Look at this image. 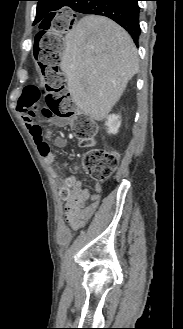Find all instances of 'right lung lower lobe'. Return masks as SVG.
<instances>
[{
    "label": "right lung lower lobe",
    "mask_w": 183,
    "mask_h": 329,
    "mask_svg": "<svg viewBox=\"0 0 183 329\" xmlns=\"http://www.w3.org/2000/svg\"><path fill=\"white\" fill-rule=\"evenodd\" d=\"M139 0H71L72 9L79 13L109 17L121 25L138 44L141 32L139 26Z\"/></svg>",
    "instance_id": "98d812e1"
}]
</instances>
